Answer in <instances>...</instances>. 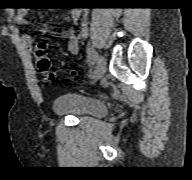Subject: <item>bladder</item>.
<instances>
[{
  "label": "bladder",
  "instance_id": "1",
  "mask_svg": "<svg viewBox=\"0 0 192 180\" xmlns=\"http://www.w3.org/2000/svg\"><path fill=\"white\" fill-rule=\"evenodd\" d=\"M52 109L59 116L72 115L82 118L89 115H101L106 111L103 101L88 98L76 93L63 94L56 97Z\"/></svg>",
  "mask_w": 192,
  "mask_h": 180
}]
</instances>
